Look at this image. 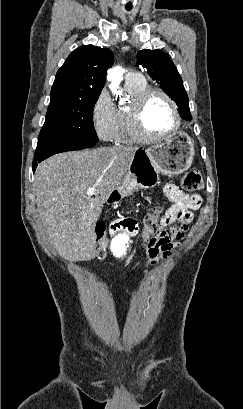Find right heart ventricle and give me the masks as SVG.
<instances>
[{"label": "right heart ventricle", "mask_w": 243, "mask_h": 409, "mask_svg": "<svg viewBox=\"0 0 243 409\" xmlns=\"http://www.w3.org/2000/svg\"><path fill=\"white\" fill-rule=\"evenodd\" d=\"M148 88V85L145 80L140 81V82H128L126 81L125 83V89L129 96L131 97L132 101L143 91H145ZM129 107V106H128ZM128 107H120L117 108V115H118V127H117V133H116V138L115 141L118 143H135L138 142L137 138L134 136L128 115H127V110Z\"/></svg>", "instance_id": "obj_1"}]
</instances>
